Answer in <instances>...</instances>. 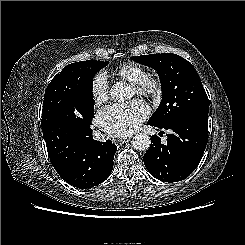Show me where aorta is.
<instances>
[{
    "label": "aorta",
    "mask_w": 245,
    "mask_h": 245,
    "mask_svg": "<svg viewBox=\"0 0 245 245\" xmlns=\"http://www.w3.org/2000/svg\"><path fill=\"white\" fill-rule=\"evenodd\" d=\"M110 96L115 101L124 102L130 98V93L124 84L116 83L110 89ZM131 144L134 149L145 151L150 147L151 140L148 135L139 133L133 136Z\"/></svg>",
    "instance_id": "1"
}]
</instances>
